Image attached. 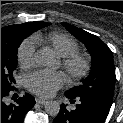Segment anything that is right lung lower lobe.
<instances>
[{
    "instance_id": "1",
    "label": "right lung lower lobe",
    "mask_w": 123,
    "mask_h": 123,
    "mask_svg": "<svg viewBox=\"0 0 123 123\" xmlns=\"http://www.w3.org/2000/svg\"><path fill=\"white\" fill-rule=\"evenodd\" d=\"M14 89L1 88V123H23L25 114L35 105L34 97L28 93L16 100V104L7 105L5 99Z\"/></svg>"
}]
</instances>
